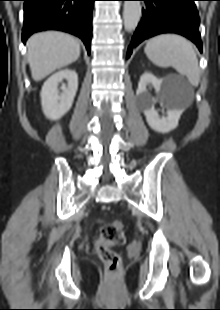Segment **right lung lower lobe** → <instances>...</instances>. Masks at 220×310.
Returning <instances> with one entry per match:
<instances>
[{"label": "right lung lower lobe", "mask_w": 220, "mask_h": 310, "mask_svg": "<svg viewBox=\"0 0 220 310\" xmlns=\"http://www.w3.org/2000/svg\"><path fill=\"white\" fill-rule=\"evenodd\" d=\"M22 40L35 32L61 30L78 36L90 54L92 9L95 0H23Z\"/></svg>", "instance_id": "obj_1"}]
</instances>
